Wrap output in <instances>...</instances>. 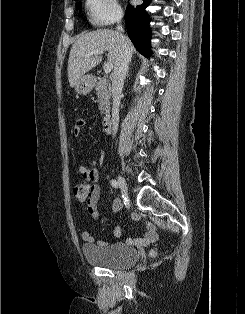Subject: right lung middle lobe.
Listing matches in <instances>:
<instances>
[{"mask_svg": "<svg viewBox=\"0 0 245 314\" xmlns=\"http://www.w3.org/2000/svg\"><path fill=\"white\" fill-rule=\"evenodd\" d=\"M77 9H81V3L77 6Z\"/></svg>", "mask_w": 245, "mask_h": 314, "instance_id": "obj_1", "label": "right lung middle lobe"}]
</instances>
